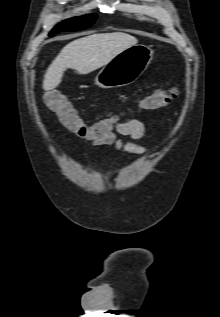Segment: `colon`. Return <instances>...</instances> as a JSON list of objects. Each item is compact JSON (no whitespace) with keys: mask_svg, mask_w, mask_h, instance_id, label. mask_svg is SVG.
<instances>
[{"mask_svg":"<svg viewBox=\"0 0 220 317\" xmlns=\"http://www.w3.org/2000/svg\"><path fill=\"white\" fill-rule=\"evenodd\" d=\"M179 88L177 84H172L167 89L156 90L146 96L141 101V106L145 110H157L175 100L178 96ZM46 105L52 109L60 121L71 131L78 133L84 131L87 124L79 116L75 107L71 104L68 98L55 90H47L43 95ZM118 120L108 118L99 121L96 125L99 134H107L113 130Z\"/></svg>","mask_w":220,"mask_h":317,"instance_id":"5ec220e1","label":"colon"}]
</instances>
